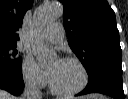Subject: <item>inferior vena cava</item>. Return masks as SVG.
<instances>
[{
  "label": "inferior vena cava",
  "instance_id": "obj_1",
  "mask_svg": "<svg viewBox=\"0 0 128 99\" xmlns=\"http://www.w3.org/2000/svg\"><path fill=\"white\" fill-rule=\"evenodd\" d=\"M23 99H42L41 91L35 81L26 82Z\"/></svg>",
  "mask_w": 128,
  "mask_h": 99
}]
</instances>
